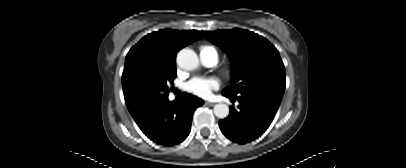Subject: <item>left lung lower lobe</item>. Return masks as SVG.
I'll list each match as a JSON object with an SVG mask.
<instances>
[{"instance_id": "left-lung-lower-lobe-1", "label": "left lung lower lobe", "mask_w": 406, "mask_h": 168, "mask_svg": "<svg viewBox=\"0 0 406 168\" xmlns=\"http://www.w3.org/2000/svg\"><path fill=\"white\" fill-rule=\"evenodd\" d=\"M231 101L238 100V108L230 107V114L219 122L222 133L236 143H248L260 135L270 126L282 96L272 93H249L245 95H228Z\"/></svg>"}]
</instances>
